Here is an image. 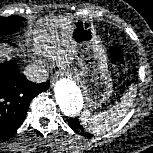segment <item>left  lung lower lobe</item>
I'll use <instances>...</instances> for the list:
<instances>
[{"label": "left lung lower lobe", "instance_id": "obj_1", "mask_svg": "<svg viewBox=\"0 0 153 153\" xmlns=\"http://www.w3.org/2000/svg\"><path fill=\"white\" fill-rule=\"evenodd\" d=\"M68 124L70 125V127L75 130L77 133L85 136V137H92L93 135L87 132H84V128L80 125L79 119L75 118V119H69L68 120Z\"/></svg>", "mask_w": 153, "mask_h": 153}]
</instances>
